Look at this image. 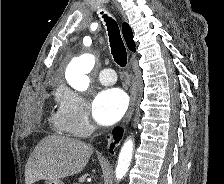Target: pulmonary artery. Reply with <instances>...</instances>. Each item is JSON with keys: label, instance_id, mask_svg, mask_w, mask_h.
Instances as JSON below:
<instances>
[{"label": "pulmonary artery", "instance_id": "pulmonary-artery-1", "mask_svg": "<svg viewBox=\"0 0 224 184\" xmlns=\"http://www.w3.org/2000/svg\"><path fill=\"white\" fill-rule=\"evenodd\" d=\"M99 81L103 84V85H112L116 82L117 80V76L116 73L113 69L111 68H106L103 69L99 72L98 75Z\"/></svg>", "mask_w": 224, "mask_h": 184}]
</instances>
